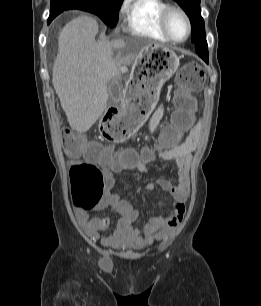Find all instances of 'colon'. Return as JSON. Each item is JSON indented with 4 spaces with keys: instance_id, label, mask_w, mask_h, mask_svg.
Segmentation results:
<instances>
[{
    "instance_id": "colon-1",
    "label": "colon",
    "mask_w": 261,
    "mask_h": 306,
    "mask_svg": "<svg viewBox=\"0 0 261 306\" xmlns=\"http://www.w3.org/2000/svg\"><path fill=\"white\" fill-rule=\"evenodd\" d=\"M203 68L194 62L185 64L176 76L177 90L174 101L176 111L173 114V124L162 131L160 146L171 144L178 140L180 134L191 126V115L195 109L193 94L198 91L204 81ZM131 129L117 119H110L103 124L102 133L112 142H119L129 137ZM64 145L71 155L84 153L87 161H76L70 167V185L73 205L77 209H87L91 199L99 196L104 190V176L94 161H107L109 153L97 146H87L72 134H66ZM152 154L151 148L144 147L141 151L125 150L119 154H112L115 161L135 162L148 158Z\"/></svg>"
}]
</instances>
